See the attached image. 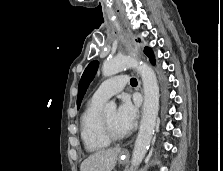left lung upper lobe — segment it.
<instances>
[{"label":"left lung upper lobe","mask_w":223,"mask_h":171,"mask_svg":"<svg viewBox=\"0 0 223 171\" xmlns=\"http://www.w3.org/2000/svg\"><path fill=\"white\" fill-rule=\"evenodd\" d=\"M148 50V47L145 48L144 52ZM98 61H92L85 69L81 80L79 82V91H78V98H77V108L79 109L81 101L83 99L84 94L86 93V90L90 84V82L93 80L96 70L98 68Z\"/></svg>","instance_id":"5c2ea615"}]
</instances>
